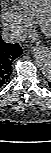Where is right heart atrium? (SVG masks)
<instances>
[{
	"label": "right heart atrium",
	"mask_w": 51,
	"mask_h": 153,
	"mask_svg": "<svg viewBox=\"0 0 51 153\" xmlns=\"http://www.w3.org/2000/svg\"><path fill=\"white\" fill-rule=\"evenodd\" d=\"M1 20L6 29L18 39L32 30V22L19 8H4L1 12Z\"/></svg>",
	"instance_id": "obj_1"
}]
</instances>
